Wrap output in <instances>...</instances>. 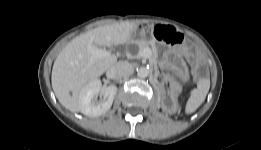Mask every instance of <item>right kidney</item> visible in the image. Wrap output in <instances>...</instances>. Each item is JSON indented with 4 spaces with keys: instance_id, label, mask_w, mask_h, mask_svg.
<instances>
[{
    "instance_id": "right-kidney-1",
    "label": "right kidney",
    "mask_w": 261,
    "mask_h": 150,
    "mask_svg": "<svg viewBox=\"0 0 261 150\" xmlns=\"http://www.w3.org/2000/svg\"><path fill=\"white\" fill-rule=\"evenodd\" d=\"M117 92L115 85L102 89L101 81L96 79L85 86L80 94L81 112L89 117H98L106 113L112 106ZM98 95H103L100 100Z\"/></svg>"
}]
</instances>
